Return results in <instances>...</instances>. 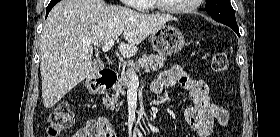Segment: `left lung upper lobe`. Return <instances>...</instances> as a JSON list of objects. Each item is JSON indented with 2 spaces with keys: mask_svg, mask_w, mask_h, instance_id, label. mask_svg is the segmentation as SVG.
I'll return each instance as SVG.
<instances>
[{
  "mask_svg": "<svg viewBox=\"0 0 280 137\" xmlns=\"http://www.w3.org/2000/svg\"><path fill=\"white\" fill-rule=\"evenodd\" d=\"M205 10L214 20L220 23L237 25L230 0H206Z\"/></svg>",
  "mask_w": 280,
  "mask_h": 137,
  "instance_id": "left-lung-upper-lobe-1",
  "label": "left lung upper lobe"
}]
</instances>
